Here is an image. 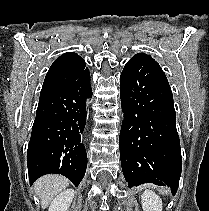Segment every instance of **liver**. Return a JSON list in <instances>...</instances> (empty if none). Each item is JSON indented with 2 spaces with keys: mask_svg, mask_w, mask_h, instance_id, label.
<instances>
[{
  "mask_svg": "<svg viewBox=\"0 0 209 211\" xmlns=\"http://www.w3.org/2000/svg\"><path fill=\"white\" fill-rule=\"evenodd\" d=\"M69 185V180L60 175L49 174L34 183V191L41 200V207L46 208L60 192Z\"/></svg>",
  "mask_w": 209,
  "mask_h": 211,
  "instance_id": "1",
  "label": "liver"
}]
</instances>
